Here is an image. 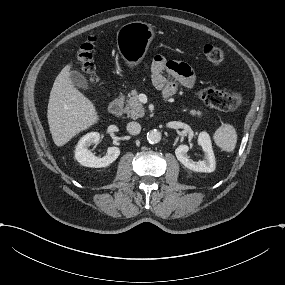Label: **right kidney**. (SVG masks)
Wrapping results in <instances>:
<instances>
[{
	"label": "right kidney",
	"mask_w": 285,
	"mask_h": 285,
	"mask_svg": "<svg viewBox=\"0 0 285 285\" xmlns=\"http://www.w3.org/2000/svg\"><path fill=\"white\" fill-rule=\"evenodd\" d=\"M100 140V134L98 132H90L84 135L77 143L75 148V159L83 166L86 167H106L115 161L120 155V149L118 147H109L107 154L102 157H96L88 146L92 143L98 144Z\"/></svg>",
	"instance_id": "ca27d5eb"
}]
</instances>
